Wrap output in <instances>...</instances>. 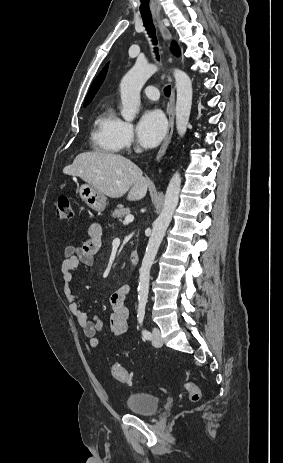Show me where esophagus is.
I'll use <instances>...</instances> for the list:
<instances>
[{"label":"esophagus","instance_id":"1","mask_svg":"<svg viewBox=\"0 0 283 463\" xmlns=\"http://www.w3.org/2000/svg\"><path fill=\"white\" fill-rule=\"evenodd\" d=\"M155 19L156 21L158 22V25H159V31H160V34L164 40V42L168 43L171 41V35H170V32L168 30V25H169V22L167 20H164L162 19L160 16H155ZM174 108H175V90L174 88H172L171 90V95H170V98H169V102H168V105H167V114H168V130H167V134L165 136V139L158 151V154L156 156V163L160 162V160L162 159V157L164 156L170 142H171V138H172V134H173V129H174V116H175V113H174Z\"/></svg>","mask_w":283,"mask_h":463}]
</instances>
